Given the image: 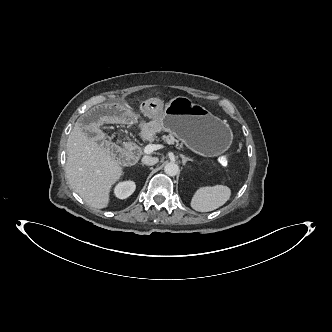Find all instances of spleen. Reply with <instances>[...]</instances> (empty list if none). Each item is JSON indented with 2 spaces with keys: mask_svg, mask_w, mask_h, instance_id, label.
I'll return each instance as SVG.
<instances>
[{
  "mask_svg": "<svg viewBox=\"0 0 332 332\" xmlns=\"http://www.w3.org/2000/svg\"><path fill=\"white\" fill-rule=\"evenodd\" d=\"M231 197V189L225 185L203 186L191 199V207L198 212H209L223 206Z\"/></svg>",
  "mask_w": 332,
  "mask_h": 332,
  "instance_id": "obj_1",
  "label": "spleen"
}]
</instances>
